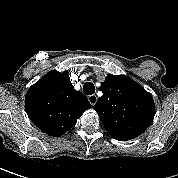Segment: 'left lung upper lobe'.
Instances as JSON below:
<instances>
[{"label": "left lung upper lobe", "instance_id": "5c2ea615", "mask_svg": "<svg viewBox=\"0 0 178 178\" xmlns=\"http://www.w3.org/2000/svg\"><path fill=\"white\" fill-rule=\"evenodd\" d=\"M103 95L93 109L106 131L120 141L142 134L155 115L153 98L141 85L125 75H107L99 87Z\"/></svg>", "mask_w": 178, "mask_h": 178}]
</instances>
